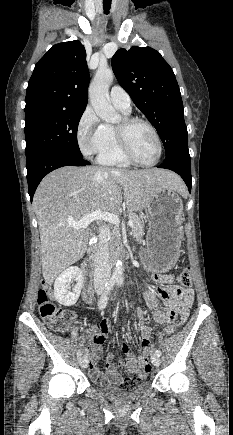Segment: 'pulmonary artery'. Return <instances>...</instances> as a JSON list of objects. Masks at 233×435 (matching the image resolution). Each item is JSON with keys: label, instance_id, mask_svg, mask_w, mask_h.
I'll return each mask as SVG.
<instances>
[{"label": "pulmonary artery", "instance_id": "obj_1", "mask_svg": "<svg viewBox=\"0 0 233 435\" xmlns=\"http://www.w3.org/2000/svg\"><path fill=\"white\" fill-rule=\"evenodd\" d=\"M110 100L114 106L122 110L123 112L130 113L131 111V99L127 92L121 87L114 86L110 90Z\"/></svg>", "mask_w": 233, "mask_h": 435}]
</instances>
